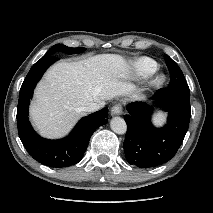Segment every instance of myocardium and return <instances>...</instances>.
I'll return each mask as SVG.
<instances>
[{
	"mask_svg": "<svg viewBox=\"0 0 213 213\" xmlns=\"http://www.w3.org/2000/svg\"><path fill=\"white\" fill-rule=\"evenodd\" d=\"M165 82V76L163 74L156 75L151 81L153 87H160Z\"/></svg>",
	"mask_w": 213,
	"mask_h": 213,
	"instance_id": "f54148a6",
	"label": "myocardium"
}]
</instances>
